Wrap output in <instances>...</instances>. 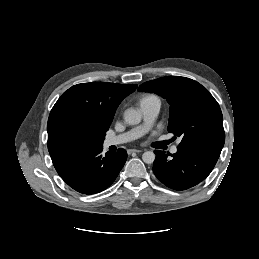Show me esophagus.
<instances>
[{"mask_svg":"<svg viewBox=\"0 0 259 259\" xmlns=\"http://www.w3.org/2000/svg\"><path fill=\"white\" fill-rule=\"evenodd\" d=\"M127 152H128V154L130 155V154H134V153H140L141 150H138V149H129Z\"/></svg>","mask_w":259,"mask_h":259,"instance_id":"esophagus-1","label":"esophagus"}]
</instances>
